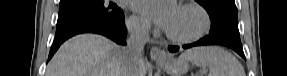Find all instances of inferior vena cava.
<instances>
[{"mask_svg": "<svg viewBox=\"0 0 287 76\" xmlns=\"http://www.w3.org/2000/svg\"><path fill=\"white\" fill-rule=\"evenodd\" d=\"M127 45L123 47L122 76H139L144 65L143 49L149 41L150 25L133 20L127 23Z\"/></svg>", "mask_w": 287, "mask_h": 76, "instance_id": "obj_1", "label": "inferior vena cava"}]
</instances>
